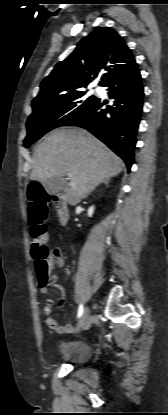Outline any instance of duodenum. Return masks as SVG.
Wrapping results in <instances>:
<instances>
[{
    "instance_id": "duodenum-1",
    "label": "duodenum",
    "mask_w": 168,
    "mask_h": 415,
    "mask_svg": "<svg viewBox=\"0 0 168 415\" xmlns=\"http://www.w3.org/2000/svg\"><path fill=\"white\" fill-rule=\"evenodd\" d=\"M53 202L56 208L58 220L62 226H65L69 220V210L67 204L60 196H54Z\"/></svg>"
}]
</instances>
